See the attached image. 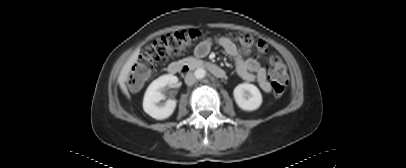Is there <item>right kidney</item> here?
Masks as SVG:
<instances>
[{
    "instance_id": "obj_1",
    "label": "right kidney",
    "mask_w": 406,
    "mask_h": 168,
    "mask_svg": "<svg viewBox=\"0 0 406 168\" xmlns=\"http://www.w3.org/2000/svg\"><path fill=\"white\" fill-rule=\"evenodd\" d=\"M177 83L178 78L174 75H163L154 80L144 95V111L157 120L170 117L176 108V101L170 99L164 105L160 104V101L164 99L161 89L165 86L174 87Z\"/></svg>"
}]
</instances>
